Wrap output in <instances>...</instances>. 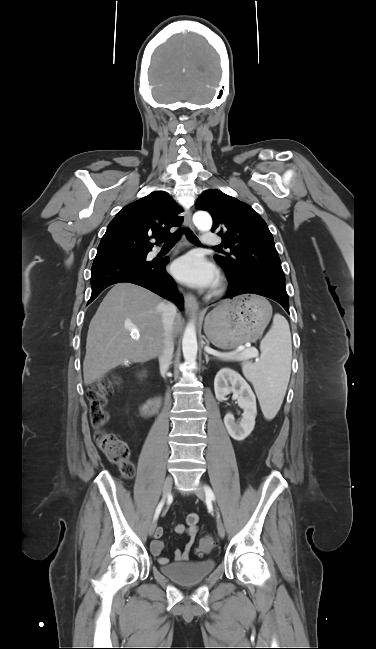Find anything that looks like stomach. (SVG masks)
Here are the masks:
<instances>
[{"label": "stomach", "mask_w": 376, "mask_h": 649, "mask_svg": "<svg viewBox=\"0 0 376 649\" xmlns=\"http://www.w3.org/2000/svg\"><path fill=\"white\" fill-rule=\"evenodd\" d=\"M272 315L269 302L255 295H242L222 302L211 311L204 332L220 349H232L256 340L266 328Z\"/></svg>", "instance_id": "0dacf381"}]
</instances>
